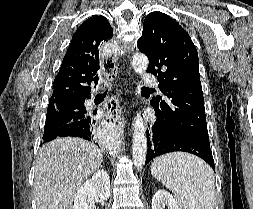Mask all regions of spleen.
I'll use <instances>...</instances> for the list:
<instances>
[{"mask_svg":"<svg viewBox=\"0 0 253 209\" xmlns=\"http://www.w3.org/2000/svg\"><path fill=\"white\" fill-rule=\"evenodd\" d=\"M151 174L174 193L181 209H214V174L200 158L166 154L153 161Z\"/></svg>","mask_w":253,"mask_h":209,"instance_id":"1","label":"spleen"}]
</instances>
